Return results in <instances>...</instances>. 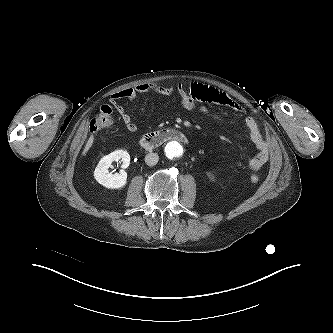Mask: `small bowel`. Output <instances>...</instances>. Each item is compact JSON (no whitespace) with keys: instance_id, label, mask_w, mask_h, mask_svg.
<instances>
[{"instance_id":"obj_1","label":"small bowel","mask_w":333,"mask_h":333,"mask_svg":"<svg viewBox=\"0 0 333 333\" xmlns=\"http://www.w3.org/2000/svg\"><path fill=\"white\" fill-rule=\"evenodd\" d=\"M141 94H155L161 96L175 95L179 99L182 107L186 110L197 111L218 122H224L227 118L220 113L213 112L208 107V104L222 105L239 113L244 112V109L227 94L210 86L199 83H192L187 87L182 84L161 85L158 83H144L122 89L110 96L111 103L115 106L125 127L130 132H135L138 126L133 121L132 117L125 112L123 107L119 104V101L124 99L132 101L137 99ZM245 125L252 143L258 149V153L249 161V167L253 171H257L267 163L270 146L263 137L253 117L247 116L245 118Z\"/></svg>"}]
</instances>
